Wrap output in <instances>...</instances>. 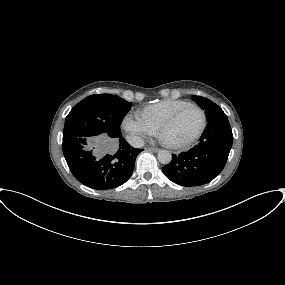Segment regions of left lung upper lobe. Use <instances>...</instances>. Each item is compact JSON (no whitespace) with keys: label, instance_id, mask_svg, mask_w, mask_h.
I'll list each match as a JSON object with an SVG mask.
<instances>
[{"label":"left lung upper lobe","instance_id":"5c2ea615","mask_svg":"<svg viewBox=\"0 0 285 285\" xmlns=\"http://www.w3.org/2000/svg\"><path fill=\"white\" fill-rule=\"evenodd\" d=\"M192 99L203 109L207 116V121L227 117L223 110L214 102L201 96L192 95Z\"/></svg>","mask_w":285,"mask_h":285}]
</instances>
